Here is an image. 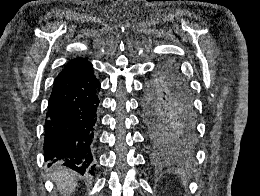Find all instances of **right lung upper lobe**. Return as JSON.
Masks as SVG:
<instances>
[{
    "mask_svg": "<svg viewBox=\"0 0 260 196\" xmlns=\"http://www.w3.org/2000/svg\"><path fill=\"white\" fill-rule=\"evenodd\" d=\"M92 68V64L81 57L72 59L64 69L59 73L55 80L67 78L70 76L85 73Z\"/></svg>",
    "mask_w": 260,
    "mask_h": 196,
    "instance_id": "cb5924a9",
    "label": "right lung upper lobe"
}]
</instances>
